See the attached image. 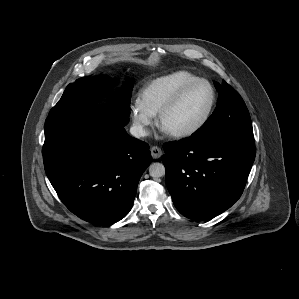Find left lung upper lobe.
Segmentation results:
<instances>
[{"label":"left lung upper lobe","mask_w":299,"mask_h":299,"mask_svg":"<svg viewBox=\"0 0 299 299\" xmlns=\"http://www.w3.org/2000/svg\"><path fill=\"white\" fill-rule=\"evenodd\" d=\"M219 92L217 107L192 136L202 139L254 138L248 109L238 92L224 80L214 82Z\"/></svg>","instance_id":"left-lung-upper-lobe-1"}]
</instances>
